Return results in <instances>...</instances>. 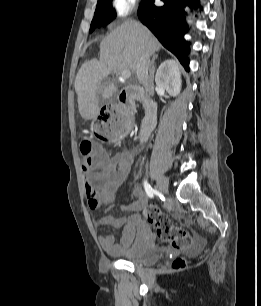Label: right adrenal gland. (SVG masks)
<instances>
[{"label": "right adrenal gland", "instance_id": "2a0ac1e0", "mask_svg": "<svg viewBox=\"0 0 261 306\" xmlns=\"http://www.w3.org/2000/svg\"><path fill=\"white\" fill-rule=\"evenodd\" d=\"M157 59V56H154L152 61H151V67H150V74L152 77H154V73H155V61Z\"/></svg>", "mask_w": 261, "mask_h": 306}]
</instances>
